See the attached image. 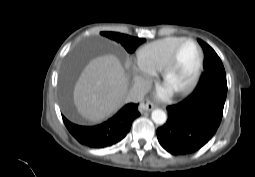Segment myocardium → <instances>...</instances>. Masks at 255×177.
<instances>
[{"label": "myocardium", "instance_id": "f54148a6", "mask_svg": "<svg viewBox=\"0 0 255 177\" xmlns=\"http://www.w3.org/2000/svg\"><path fill=\"white\" fill-rule=\"evenodd\" d=\"M188 43H191L196 47L198 54H199V60H198V65H197V68L195 70L193 77L186 85H184L183 87L176 90V93H178V94H186V93L190 92L199 82V79L201 77L202 70H203V65H204V53H203L201 46L195 40H193L191 38H185L183 41H181L175 47L170 58L168 59V61L166 62V64L163 66V68L161 70V78L163 81H166L168 75L170 74L171 70L174 68V66L177 62L178 55H179L181 49L183 48V46L185 44H188Z\"/></svg>", "mask_w": 255, "mask_h": 177}]
</instances>
